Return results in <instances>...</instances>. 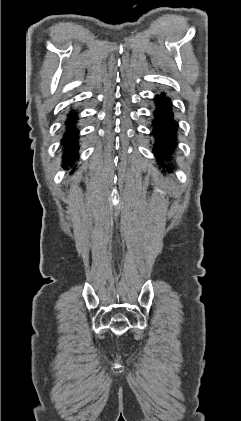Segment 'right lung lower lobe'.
Instances as JSON below:
<instances>
[{"mask_svg": "<svg viewBox=\"0 0 241 421\" xmlns=\"http://www.w3.org/2000/svg\"><path fill=\"white\" fill-rule=\"evenodd\" d=\"M76 116L73 111H71L65 121V131L64 136L61 140L63 145V158L64 161L73 165V163L78 159V132L76 129ZM67 168V167H66Z\"/></svg>", "mask_w": 241, "mask_h": 421, "instance_id": "98d812e1", "label": "right lung lower lobe"}]
</instances>
